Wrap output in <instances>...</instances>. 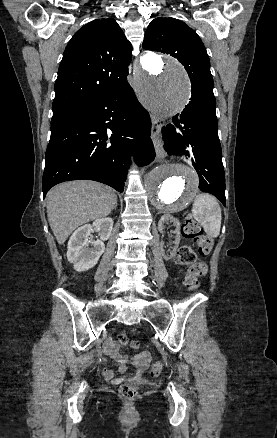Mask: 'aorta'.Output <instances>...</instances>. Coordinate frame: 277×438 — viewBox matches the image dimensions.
<instances>
[{"mask_svg": "<svg viewBox=\"0 0 277 438\" xmlns=\"http://www.w3.org/2000/svg\"><path fill=\"white\" fill-rule=\"evenodd\" d=\"M138 98L152 114L172 117L188 102L189 81L183 66L170 56L146 53L134 71ZM151 207L166 214L187 207L198 189L195 171L180 160L160 165L145 179Z\"/></svg>", "mask_w": 277, "mask_h": 438, "instance_id": "aorta-1", "label": "aorta"}]
</instances>
